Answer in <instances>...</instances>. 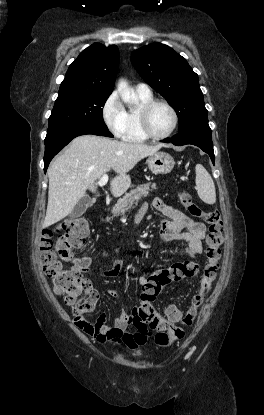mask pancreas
Returning <instances> with one entry per match:
<instances>
[{
    "instance_id": "pancreas-1",
    "label": "pancreas",
    "mask_w": 264,
    "mask_h": 415,
    "mask_svg": "<svg viewBox=\"0 0 264 415\" xmlns=\"http://www.w3.org/2000/svg\"><path fill=\"white\" fill-rule=\"evenodd\" d=\"M155 189L156 184L151 185L149 183L138 186L137 188L131 190V192L125 194L123 198L119 199L113 207L111 213L114 216H119L120 214L125 213L128 208H130L133 204H137L142 197L148 196L149 192Z\"/></svg>"
}]
</instances>
